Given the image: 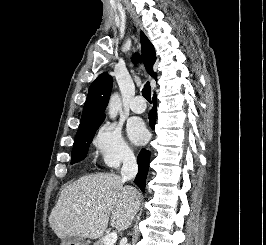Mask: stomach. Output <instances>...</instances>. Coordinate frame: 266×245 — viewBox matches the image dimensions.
Segmentation results:
<instances>
[{
	"instance_id": "stomach-1",
	"label": "stomach",
	"mask_w": 266,
	"mask_h": 245,
	"mask_svg": "<svg viewBox=\"0 0 266 245\" xmlns=\"http://www.w3.org/2000/svg\"><path fill=\"white\" fill-rule=\"evenodd\" d=\"M74 243H71V245H90V241H85V239H82V237H77V239H72Z\"/></svg>"
}]
</instances>
